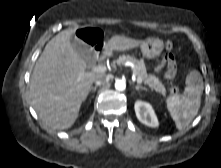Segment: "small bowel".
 <instances>
[{
  "instance_id": "obj_1",
  "label": "small bowel",
  "mask_w": 221,
  "mask_h": 168,
  "mask_svg": "<svg viewBox=\"0 0 221 168\" xmlns=\"http://www.w3.org/2000/svg\"><path fill=\"white\" fill-rule=\"evenodd\" d=\"M165 68L164 76L166 79H171L175 75L176 67L175 61L172 55H168L164 58V60L157 66V70H161Z\"/></svg>"
}]
</instances>
